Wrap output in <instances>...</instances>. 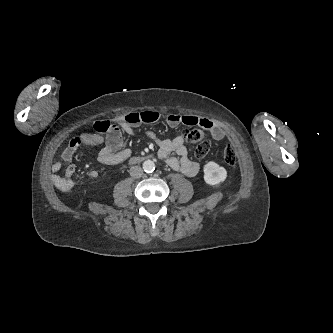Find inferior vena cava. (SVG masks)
I'll return each instance as SVG.
<instances>
[{"label": "inferior vena cava", "instance_id": "inferior-vena-cava-1", "mask_svg": "<svg viewBox=\"0 0 333 333\" xmlns=\"http://www.w3.org/2000/svg\"><path fill=\"white\" fill-rule=\"evenodd\" d=\"M129 173L133 178H140L143 175V170L140 166H132Z\"/></svg>", "mask_w": 333, "mask_h": 333}]
</instances>
